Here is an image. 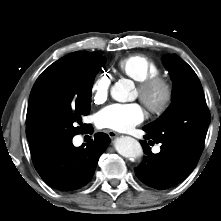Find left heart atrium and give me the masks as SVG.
<instances>
[{"mask_svg": "<svg viewBox=\"0 0 221 221\" xmlns=\"http://www.w3.org/2000/svg\"><path fill=\"white\" fill-rule=\"evenodd\" d=\"M145 118L142 106L138 103L112 104L103 108L96 117L99 127L127 132Z\"/></svg>", "mask_w": 221, "mask_h": 221, "instance_id": "obj_1", "label": "left heart atrium"}]
</instances>
